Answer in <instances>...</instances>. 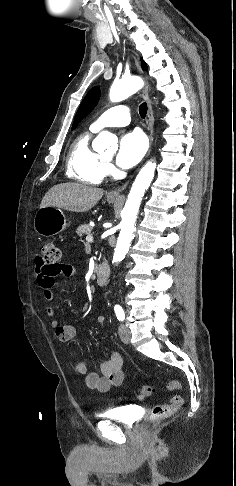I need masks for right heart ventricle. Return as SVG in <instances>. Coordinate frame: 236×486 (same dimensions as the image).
<instances>
[{
    "label": "right heart ventricle",
    "instance_id": "right-heart-ventricle-1",
    "mask_svg": "<svg viewBox=\"0 0 236 486\" xmlns=\"http://www.w3.org/2000/svg\"><path fill=\"white\" fill-rule=\"evenodd\" d=\"M91 132H84L73 141L67 156L66 175L84 184L98 185L106 175L105 162L90 146Z\"/></svg>",
    "mask_w": 236,
    "mask_h": 486
}]
</instances>
